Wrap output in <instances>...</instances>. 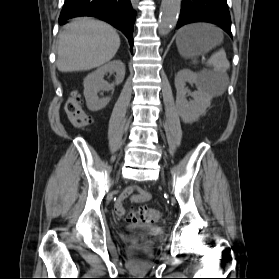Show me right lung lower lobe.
I'll return each mask as SVG.
<instances>
[{
    "label": "right lung lower lobe",
    "instance_id": "1",
    "mask_svg": "<svg viewBox=\"0 0 279 279\" xmlns=\"http://www.w3.org/2000/svg\"><path fill=\"white\" fill-rule=\"evenodd\" d=\"M77 16L100 18L121 30L133 46V24L136 12L130 0H65L59 22Z\"/></svg>",
    "mask_w": 279,
    "mask_h": 279
}]
</instances>
